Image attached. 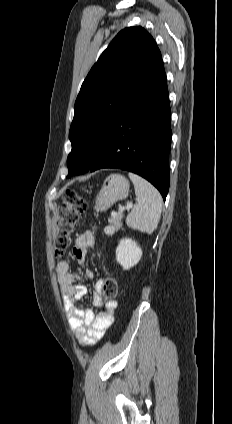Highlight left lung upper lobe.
<instances>
[{
  "label": "left lung upper lobe",
  "mask_w": 232,
  "mask_h": 424,
  "mask_svg": "<svg viewBox=\"0 0 232 424\" xmlns=\"http://www.w3.org/2000/svg\"><path fill=\"white\" fill-rule=\"evenodd\" d=\"M161 60L156 42L142 27L125 28L112 40L75 102L68 177L91 168L114 122Z\"/></svg>",
  "instance_id": "5c2ea615"
}]
</instances>
